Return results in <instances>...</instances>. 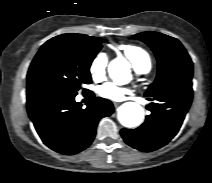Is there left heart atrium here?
Segmentation results:
<instances>
[{"instance_id": "39dd6f15", "label": "left heart atrium", "mask_w": 212, "mask_h": 183, "mask_svg": "<svg viewBox=\"0 0 212 183\" xmlns=\"http://www.w3.org/2000/svg\"><path fill=\"white\" fill-rule=\"evenodd\" d=\"M98 93L103 98L118 101L130 94L131 90L125 87L117 86L114 83L107 82L98 88Z\"/></svg>"}]
</instances>
